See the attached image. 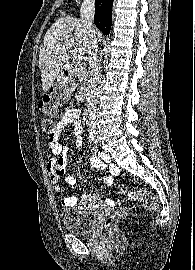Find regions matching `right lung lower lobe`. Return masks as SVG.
Returning a JSON list of instances; mask_svg holds the SVG:
<instances>
[{
  "mask_svg": "<svg viewBox=\"0 0 195 270\" xmlns=\"http://www.w3.org/2000/svg\"><path fill=\"white\" fill-rule=\"evenodd\" d=\"M112 5L113 0H95L94 23L105 35H108L111 29Z\"/></svg>",
  "mask_w": 195,
  "mask_h": 270,
  "instance_id": "right-lung-lower-lobe-1",
  "label": "right lung lower lobe"
}]
</instances>
